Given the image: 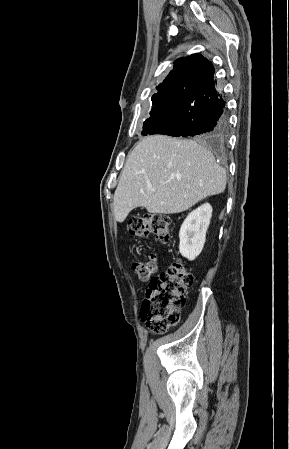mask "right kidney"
<instances>
[{
  "instance_id": "1",
  "label": "right kidney",
  "mask_w": 289,
  "mask_h": 449,
  "mask_svg": "<svg viewBox=\"0 0 289 449\" xmlns=\"http://www.w3.org/2000/svg\"><path fill=\"white\" fill-rule=\"evenodd\" d=\"M211 217L209 203L202 204L186 217L179 232V252L183 257L194 260L201 253Z\"/></svg>"
}]
</instances>
